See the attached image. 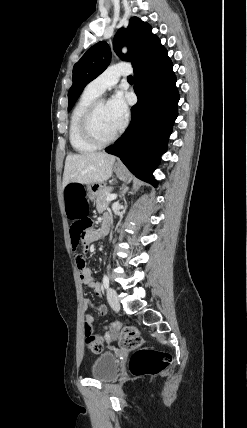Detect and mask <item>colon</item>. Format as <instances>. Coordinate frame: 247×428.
Wrapping results in <instances>:
<instances>
[{
  "mask_svg": "<svg viewBox=\"0 0 247 428\" xmlns=\"http://www.w3.org/2000/svg\"><path fill=\"white\" fill-rule=\"evenodd\" d=\"M66 208L64 215L67 220L71 222L72 230L71 237L74 245H77L84 234L93 225V218L87 217V203L85 193L82 186L72 183L66 186L64 192ZM85 261L83 257H77V266H84ZM82 305L89 306L91 309L94 307L92 301L82 300ZM108 305L105 302L96 303L95 309L100 317H107L110 311L107 309ZM85 345L86 348L93 352L99 353L103 350L104 335H99L96 332V337L92 335L94 322L91 318L85 319ZM101 330H108V327H101ZM115 333L119 334L120 347L127 351L135 350L133 353L129 367L133 375L143 376L148 374H157L165 369L172 361V356L167 352L157 351L150 348H140L143 339L139 331L133 326H126L121 329H115Z\"/></svg>",
  "mask_w": 247,
  "mask_h": 428,
  "instance_id": "1",
  "label": "colon"
}]
</instances>
